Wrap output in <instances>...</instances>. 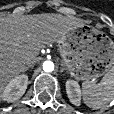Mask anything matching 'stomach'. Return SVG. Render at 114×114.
I'll return each mask as SVG.
<instances>
[{
    "instance_id": "stomach-1",
    "label": "stomach",
    "mask_w": 114,
    "mask_h": 114,
    "mask_svg": "<svg viewBox=\"0 0 114 114\" xmlns=\"http://www.w3.org/2000/svg\"><path fill=\"white\" fill-rule=\"evenodd\" d=\"M58 44L67 70L76 79L93 82L114 67V42L89 24L70 29Z\"/></svg>"
}]
</instances>
